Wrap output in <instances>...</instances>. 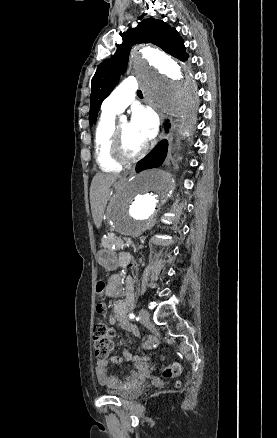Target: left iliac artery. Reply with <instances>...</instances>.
<instances>
[{
	"instance_id": "44dca946",
	"label": "left iliac artery",
	"mask_w": 277,
	"mask_h": 438,
	"mask_svg": "<svg viewBox=\"0 0 277 438\" xmlns=\"http://www.w3.org/2000/svg\"><path fill=\"white\" fill-rule=\"evenodd\" d=\"M129 317H130L131 319H133V318H135V314H134V313H131V314L129 315Z\"/></svg>"
}]
</instances>
